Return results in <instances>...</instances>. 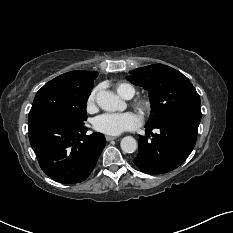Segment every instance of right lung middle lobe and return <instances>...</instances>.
<instances>
[{"label": "right lung middle lobe", "instance_id": "right-lung-middle-lobe-1", "mask_svg": "<svg viewBox=\"0 0 233 233\" xmlns=\"http://www.w3.org/2000/svg\"><path fill=\"white\" fill-rule=\"evenodd\" d=\"M96 77L97 74L77 79L63 74L46 83L34 98L28 123L42 117H52L84 124L87 118L86 103Z\"/></svg>", "mask_w": 233, "mask_h": 233}]
</instances>
